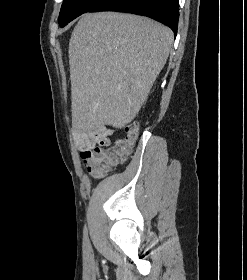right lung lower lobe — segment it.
<instances>
[{
    "instance_id": "98d812e1",
    "label": "right lung lower lobe",
    "mask_w": 247,
    "mask_h": 280,
    "mask_svg": "<svg viewBox=\"0 0 247 280\" xmlns=\"http://www.w3.org/2000/svg\"><path fill=\"white\" fill-rule=\"evenodd\" d=\"M91 11L128 12L147 16L170 27L175 36L177 34L178 0H101Z\"/></svg>"
}]
</instances>
